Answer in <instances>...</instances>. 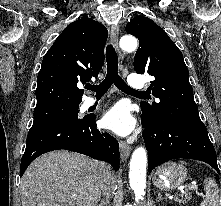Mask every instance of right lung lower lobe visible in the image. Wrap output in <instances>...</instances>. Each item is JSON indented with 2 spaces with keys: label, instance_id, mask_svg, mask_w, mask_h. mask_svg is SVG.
<instances>
[{
  "label": "right lung lower lobe",
  "instance_id": "obj_1",
  "mask_svg": "<svg viewBox=\"0 0 221 206\" xmlns=\"http://www.w3.org/2000/svg\"><path fill=\"white\" fill-rule=\"evenodd\" d=\"M66 149L106 161L119 169V144L109 133L96 128L94 116L60 119L33 124L27 135L20 176L28 165L43 153Z\"/></svg>",
  "mask_w": 221,
  "mask_h": 206
}]
</instances>
